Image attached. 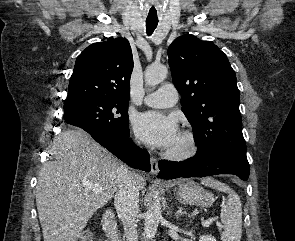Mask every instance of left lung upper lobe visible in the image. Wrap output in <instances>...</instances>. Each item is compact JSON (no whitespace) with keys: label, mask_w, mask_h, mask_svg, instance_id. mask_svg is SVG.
<instances>
[{"label":"left lung upper lobe","mask_w":295,"mask_h":241,"mask_svg":"<svg viewBox=\"0 0 295 241\" xmlns=\"http://www.w3.org/2000/svg\"><path fill=\"white\" fill-rule=\"evenodd\" d=\"M173 83L192 125L196 155L225 152L246 157L236 74L226 54L194 35L176 38L168 48Z\"/></svg>","instance_id":"obj_1"}]
</instances>
